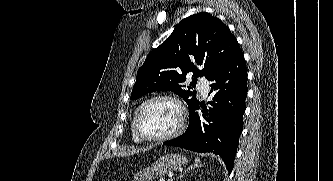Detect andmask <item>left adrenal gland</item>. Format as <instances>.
<instances>
[{
	"instance_id": "1",
	"label": "left adrenal gland",
	"mask_w": 333,
	"mask_h": 181,
	"mask_svg": "<svg viewBox=\"0 0 333 181\" xmlns=\"http://www.w3.org/2000/svg\"><path fill=\"white\" fill-rule=\"evenodd\" d=\"M200 166H190L187 169L184 170V172L177 178L176 181H178L179 179H181L183 176H185L188 172H190L191 170H194L196 168H199Z\"/></svg>"
}]
</instances>
